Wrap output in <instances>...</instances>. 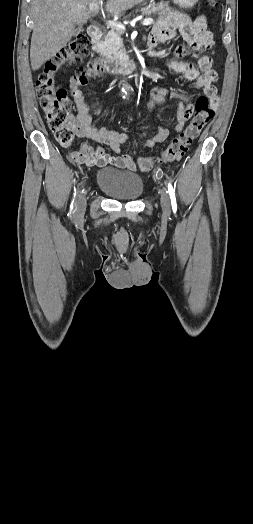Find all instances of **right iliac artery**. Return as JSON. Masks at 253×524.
I'll use <instances>...</instances> for the list:
<instances>
[{
	"mask_svg": "<svg viewBox=\"0 0 253 524\" xmlns=\"http://www.w3.org/2000/svg\"><path fill=\"white\" fill-rule=\"evenodd\" d=\"M82 186H83V182L79 183L77 188L74 189V198L70 205V213H74L76 210V197L78 196Z\"/></svg>",
	"mask_w": 253,
	"mask_h": 524,
	"instance_id": "82829eb1",
	"label": "right iliac artery"
}]
</instances>
